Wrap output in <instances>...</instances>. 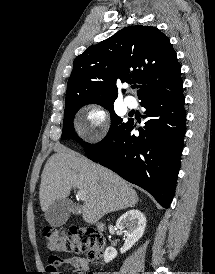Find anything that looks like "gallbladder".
I'll use <instances>...</instances> for the list:
<instances>
[{
  "label": "gallbladder",
  "instance_id": "obj_1",
  "mask_svg": "<svg viewBox=\"0 0 215 274\" xmlns=\"http://www.w3.org/2000/svg\"><path fill=\"white\" fill-rule=\"evenodd\" d=\"M79 212V208L68 198L57 199L45 211L44 216L46 221L54 226L59 227L64 225L70 214Z\"/></svg>",
  "mask_w": 215,
  "mask_h": 274
}]
</instances>
